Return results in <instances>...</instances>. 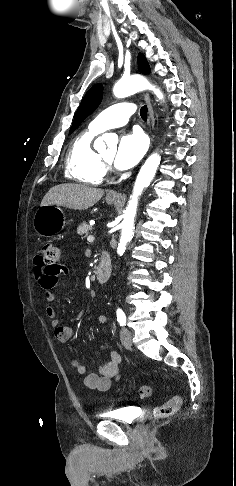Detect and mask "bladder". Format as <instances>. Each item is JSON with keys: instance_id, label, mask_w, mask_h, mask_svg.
Here are the masks:
<instances>
[{"instance_id": "bladder-1", "label": "bladder", "mask_w": 236, "mask_h": 486, "mask_svg": "<svg viewBox=\"0 0 236 486\" xmlns=\"http://www.w3.org/2000/svg\"><path fill=\"white\" fill-rule=\"evenodd\" d=\"M102 419L112 420L124 424H132L136 420V411L132 407H122L100 414Z\"/></svg>"}]
</instances>
